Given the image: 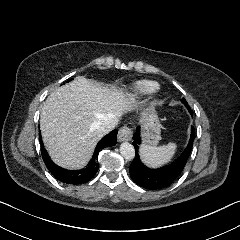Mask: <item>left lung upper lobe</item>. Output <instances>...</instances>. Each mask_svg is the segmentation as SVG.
<instances>
[{
	"label": "left lung upper lobe",
	"mask_w": 240,
	"mask_h": 240,
	"mask_svg": "<svg viewBox=\"0 0 240 240\" xmlns=\"http://www.w3.org/2000/svg\"><path fill=\"white\" fill-rule=\"evenodd\" d=\"M181 101L183 102V104H185V106L188 108V110H190V108H189V106H188V104H187L186 100H185V99H183V100H181Z\"/></svg>",
	"instance_id": "left-lung-upper-lobe-1"
}]
</instances>
